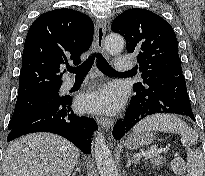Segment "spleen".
Here are the masks:
<instances>
[{
	"label": "spleen",
	"instance_id": "obj_1",
	"mask_svg": "<svg viewBox=\"0 0 205 176\" xmlns=\"http://www.w3.org/2000/svg\"><path fill=\"white\" fill-rule=\"evenodd\" d=\"M162 131L166 133H178L181 135V143L187 150V176H202L205 166V158L199 149L191 150L190 146L198 140V134L191 129L179 117L170 114H155L141 120L134 128L139 131Z\"/></svg>",
	"mask_w": 205,
	"mask_h": 176
}]
</instances>
